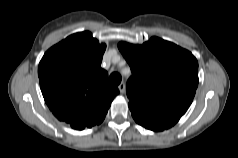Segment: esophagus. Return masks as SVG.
I'll use <instances>...</instances> for the list:
<instances>
[{
    "label": "esophagus",
    "instance_id": "esophagus-1",
    "mask_svg": "<svg viewBox=\"0 0 238 158\" xmlns=\"http://www.w3.org/2000/svg\"><path fill=\"white\" fill-rule=\"evenodd\" d=\"M118 89L120 91L121 94H124L125 93V84L122 82L118 85Z\"/></svg>",
    "mask_w": 238,
    "mask_h": 158
}]
</instances>
